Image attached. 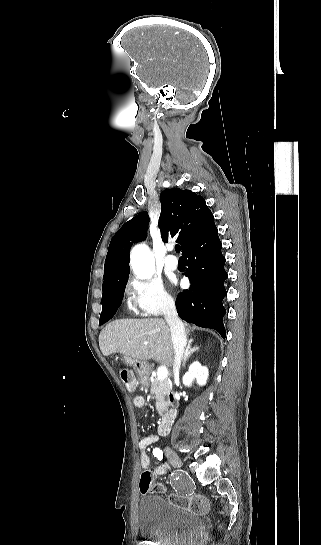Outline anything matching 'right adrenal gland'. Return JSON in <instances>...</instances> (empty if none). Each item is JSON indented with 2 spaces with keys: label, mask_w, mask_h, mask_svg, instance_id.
Returning <instances> with one entry per match:
<instances>
[{
  "label": "right adrenal gland",
  "mask_w": 321,
  "mask_h": 545,
  "mask_svg": "<svg viewBox=\"0 0 321 545\" xmlns=\"http://www.w3.org/2000/svg\"><path fill=\"white\" fill-rule=\"evenodd\" d=\"M193 341H194V339H189V341H188V345L186 347V351H185L184 357H183L182 367H185L187 359H189V357H191V355H193V353H195V351H199V347H192Z\"/></svg>",
  "instance_id": "right-adrenal-gland-1"
}]
</instances>
